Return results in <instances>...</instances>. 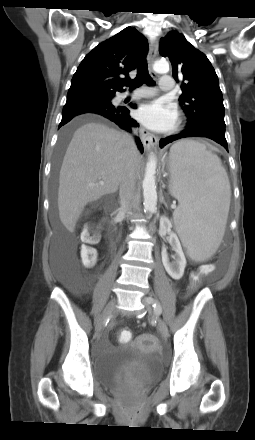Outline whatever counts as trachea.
Listing matches in <instances>:
<instances>
[{
    "label": "trachea",
    "mask_w": 255,
    "mask_h": 440,
    "mask_svg": "<svg viewBox=\"0 0 255 440\" xmlns=\"http://www.w3.org/2000/svg\"><path fill=\"white\" fill-rule=\"evenodd\" d=\"M143 83H146L149 86L154 85V81L148 73L147 61L145 58H142L139 61L136 78L134 80L125 81L123 85L134 89L140 87Z\"/></svg>",
    "instance_id": "3493384b"
}]
</instances>
